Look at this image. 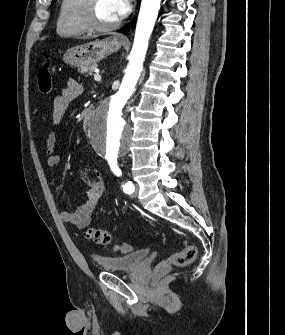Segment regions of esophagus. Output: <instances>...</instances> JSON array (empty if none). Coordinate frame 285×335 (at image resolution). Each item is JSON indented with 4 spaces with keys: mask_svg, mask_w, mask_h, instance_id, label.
<instances>
[{
    "mask_svg": "<svg viewBox=\"0 0 285 335\" xmlns=\"http://www.w3.org/2000/svg\"><path fill=\"white\" fill-rule=\"evenodd\" d=\"M122 40H126V37H124V36H122V37H120Z\"/></svg>",
    "mask_w": 285,
    "mask_h": 335,
    "instance_id": "esophagus-1",
    "label": "esophagus"
}]
</instances>
